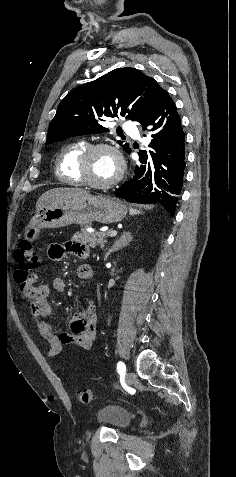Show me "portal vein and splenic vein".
Returning a JSON list of instances; mask_svg holds the SVG:
<instances>
[{
  "label": "portal vein and splenic vein",
  "instance_id": "1",
  "mask_svg": "<svg viewBox=\"0 0 236 477\" xmlns=\"http://www.w3.org/2000/svg\"><path fill=\"white\" fill-rule=\"evenodd\" d=\"M117 234H118V232L115 231V230H113V231H110V232L107 234V236H109V237H115Z\"/></svg>",
  "mask_w": 236,
  "mask_h": 477
}]
</instances>
